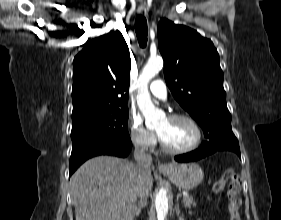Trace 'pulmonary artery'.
<instances>
[{
    "label": "pulmonary artery",
    "instance_id": "1",
    "mask_svg": "<svg viewBox=\"0 0 281 220\" xmlns=\"http://www.w3.org/2000/svg\"><path fill=\"white\" fill-rule=\"evenodd\" d=\"M151 94L159 100H166L167 88L162 80H154L150 85Z\"/></svg>",
    "mask_w": 281,
    "mask_h": 220
}]
</instances>
